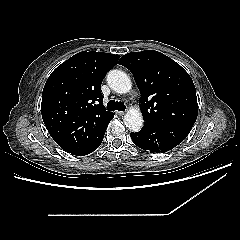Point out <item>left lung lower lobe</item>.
Returning a JSON list of instances; mask_svg holds the SVG:
<instances>
[{
  "mask_svg": "<svg viewBox=\"0 0 240 240\" xmlns=\"http://www.w3.org/2000/svg\"><path fill=\"white\" fill-rule=\"evenodd\" d=\"M193 125L144 124L141 131L131 133V139L139 148L151 153H165L180 144L189 134Z\"/></svg>",
  "mask_w": 240,
  "mask_h": 240,
  "instance_id": "1",
  "label": "left lung lower lobe"
}]
</instances>
